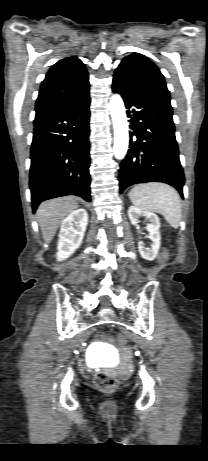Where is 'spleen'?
I'll list each match as a JSON object with an SVG mask.
<instances>
[{
    "label": "spleen",
    "mask_w": 208,
    "mask_h": 461,
    "mask_svg": "<svg viewBox=\"0 0 208 461\" xmlns=\"http://www.w3.org/2000/svg\"><path fill=\"white\" fill-rule=\"evenodd\" d=\"M128 195L139 209L157 212L164 216L171 227H179L182 213L181 198L172 186L163 183L139 184L134 186Z\"/></svg>",
    "instance_id": "3e777b00"
}]
</instances>
